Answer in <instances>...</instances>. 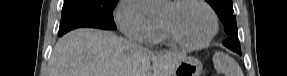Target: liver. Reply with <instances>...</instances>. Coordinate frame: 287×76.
<instances>
[{
	"instance_id": "1",
	"label": "liver",
	"mask_w": 287,
	"mask_h": 76,
	"mask_svg": "<svg viewBox=\"0 0 287 76\" xmlns=\"http://www.w3.org/2000/svg\"><path fill=\"white\" fill-rule=\"evenodd\" d=\"M185 57L153 53L110 31L80 28L57 41L48 76H171Z\"/></svg>"
}]
</instances>
